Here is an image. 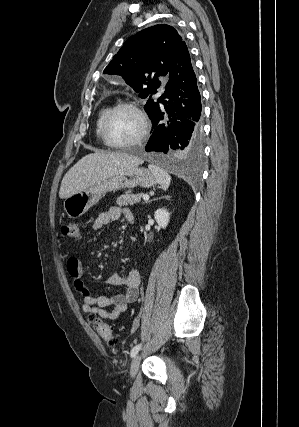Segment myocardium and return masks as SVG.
<instances>
[{"mask_svg": "<svg viewBox=\"0 0 299 427\" xmlns=\"http://www.w3.org/2000/svg\"><path fill=\"white\" fill-rule=\"evenodd\" d=\"M121 109H128L131 110L132 112H134L139 120H140V124H141V128L140 131L138 133V135L125 143H115L112 142L108 136L107 133V126L109 123L110 118L112 117V115ZM149 131V122H148V118L147 115L145 114V112L141 109V107L134 103V102H120L115 104L114 106H112L107 113L105 114L102 123H101V127H100V134H101V138L103 143L111 148H115V149H126V148H130L134 145H137L138 143H140L148 134Z\"/></svg>", "mask_w": 299, "mask_h": 427, "instance_id": "f54148a6", "label": "myocardium"}]
</instances>
